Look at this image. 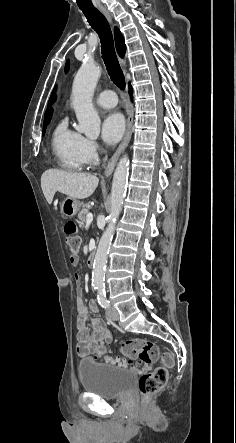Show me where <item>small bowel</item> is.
<instances>
[{"label": "small bowel", "instance_id": "1", "mask_svg": "<svg viewBox=\"0 0 236 443\" xmlns=\"http://www.w3.org/2000/svg\"><path fill=\"white\" fill-rule=\"evenodd\" d=\"M75 281L77 285L81 283L79 274H75ZM76 329H77V353L80 356H86L92 352L93 347L100 342L111 343L113 340L112 334L106 329L103 321L99 318H90V313H96L98 307L94 301L85 304L82 298V290L80 287L76 290ZM91 325V332L88 324Z\"/></svg>", "mask_w": 236, "mask_h": 443}]
</instances>
